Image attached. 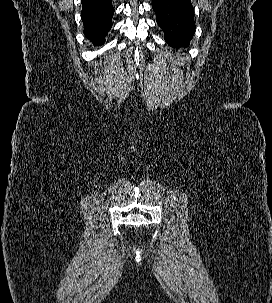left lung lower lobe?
<instances>
[{
	"label": "left lung lower lobe",
	"mask_w": 272,
	"mask_h": 303,
	"mask_svg": "<svg viewBox=\"0 0 272 303\" xmlns=\"http://www.w3.org/2000/svg\"><path fill=\"white\" fill-rule=\"evenodd\" d=\"M156 21L173 48L187 47L195 32L191 0H152Z\"/></svg>",
	"instance_id": "1"
}]
</instances>
